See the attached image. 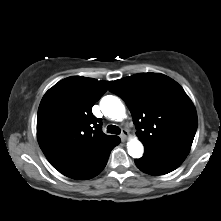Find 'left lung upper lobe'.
I'll return each mask as SVG.
<instances>
[{"label":"left lung upper lobe","mask_w":221,"mask_h":221,"mask_svg":"<svg viewBox=\"0 0 221 221\" xmlns=\"http://www.w3.org/2000/svg\"><path fill=\"white\" fill-rule=\"evenodd\" d=\"M109 90L125 101L145 150L191 148L198 123L196 110L173 79L139 73L115 80Z\"/></svg>","instance_id":"1"}]
</instances>
